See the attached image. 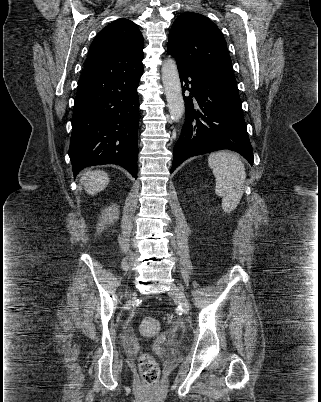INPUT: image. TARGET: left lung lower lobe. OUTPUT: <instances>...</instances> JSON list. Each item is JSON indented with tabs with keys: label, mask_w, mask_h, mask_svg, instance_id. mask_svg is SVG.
<instances>
[{
	"label": "left lung lower lobe",
	"mask_w": 321,
	"mask_h": 402,
	"mask_svg": "<svg viewBox=\"0 0 321 402\" xmlns=\"http://www.w3.org/2000/svg\"><path fill=\"white\" fill-rule=\"evenodd\" d=\"M186 108L185 124L174 146L171 173L186 159L230 149L253 165L235 77L192 69L177 63ZM185 90L190 95H184Z\"/></svg>",
	"instance_id": "0a47b994"
}]
</instances>
